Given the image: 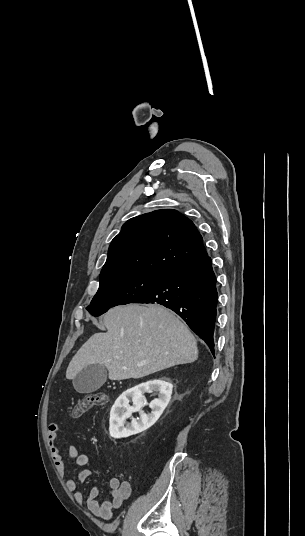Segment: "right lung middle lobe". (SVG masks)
I'll list each match as a JSON object with an SVG mask.
<instances>
[{
  "mask_svg": "<svg viewBox=\"0 0 305 536\" xmlns=\"http://www.w3.org/2000/svg\"><path fill=\"white\" fill-rule=\"evenodd\" d=\"M166 276L135 272L100 279L99 289L86 309L92 315L99 316L116 305L133 303L151 291Z\"/></svg>",
  "mask_w": 305,
  "mask_h": 536,
  "instance_id": "dd1d6c3e",
  "label": "right lung middle lobe"
}]
</instances>
